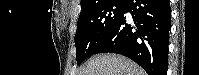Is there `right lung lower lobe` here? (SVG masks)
<instances>
[{
    "label": "right lung lower lobe",
    "instance_id": "obj_1",
    "mask_svg": "<svg viewBox=\"0 0 199 75\" xmlns=\"http://www.w3.org/2000/svg\"><path fill=\"white\" fill-rule=\"evenodd\" d=\"M170 28L169 0H127L119 22L93 54H121L148 75H167Z\"/></svg>",
    "mask_w": 199,
    "mask_h": 75
}]
</instances>
